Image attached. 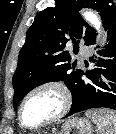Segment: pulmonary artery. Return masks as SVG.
<instances>
[{"mask_svg":"<svg viewBox=\"0 0 116 134\" xmlns=\"http://www.w3.org/2000/svg\"><path fill=\"white\" fill-rule=\"evenodd\" d=\"M91 54V50L87 46H82L80 48V56L81 57H89Z\"/></svg>","mask_w":116,"mask_h":134,"instance_id":"1","label":"pulmonary artery"}]
</instances>
